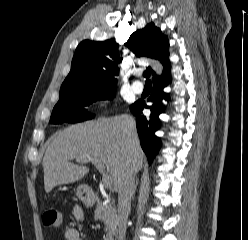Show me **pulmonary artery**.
I'll use <instances>...</instances> for the list:
<instances>
[{
  "instance_id": "pulmonary-artery-1",
  "label": "pulmonary artery",
  "mask_w": 248,
  "mask_h": 240,
  "mask_svg": "<svg viewBox=\"0 0 248 240\" xmlns=\"http://www.w3.org/2000/svg\"><path fill=\"white\" fill-rule=\"evenodd\" d=\"M143 89H144V86H143L142 82H140V81H134L132 83V90L135 93L140 94V93H142Z\"/></svg>"
}]
</instances>
